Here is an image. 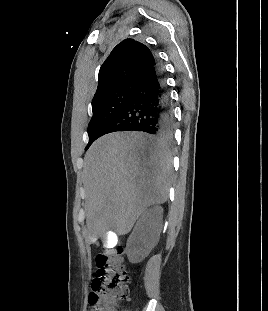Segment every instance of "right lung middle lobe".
I'll list each match as a JSON object with an SVG mask.
<instances>
[{
	"mask_svg": "<svg viewBox=\"0 0 268 311\" xmlns=\"http://www.w3.org/2000/svg\"><path fill=\"white\" fill-rule=\"evenodd\" d=\"M134 91L135 85H127L92 101L93 116L87 129L89 142L85 150L105 134L107 127L123 110Z\"/></svg>",
	"mask_w": 268,
	"mask_h": 311,
	"instance_id": "right-lung-middle-lobe-1",
	"label": "right lung middle lobe"
}]
</instances>
